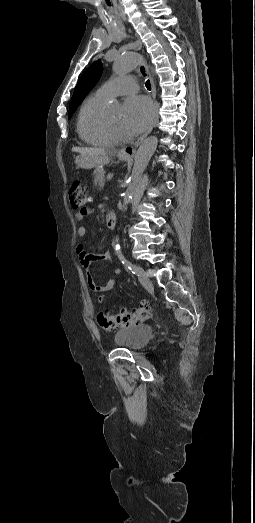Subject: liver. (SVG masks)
Wrapping results in <instances>:
<instances>
[{
    "label": "liver",
    "instance_id": "1",
    "mask_svg": "<svg viewBox=\"0 0 255 523\" xmlns=\"http://www.w3.org/2000/svg\"><path fill=\"white\" fill-rule=\"evenodd\" d=\"M73 152H79L85 158H96L97 162L106 160L104 148H72Z\"/></svg>",
    "mask_w": 255,
    "mask_h": 523
}]
</instances>
